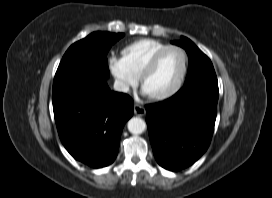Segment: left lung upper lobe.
<instances>
[{"instance_id":"1","label":"left lung upper lobe","mask_w":272,"mask_h":198,"mask_svg":"<svg viewBox=\"0 0 272 198\" xmlns=\"http://www.w3.org/2000/svg\"><path fill=\"white\" fill-rule=\"evenodd\" d=\"M172 43L183 47L188 54L189 69L185 84L199 78L216 77L210 59L191 40L182 36L180 41Z\"/></svg>"}]
</instances>
